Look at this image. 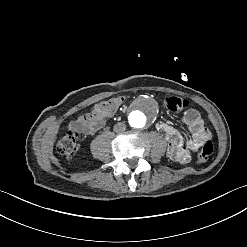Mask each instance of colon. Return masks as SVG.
Returning a JSON list of instances; mask_svg holds the SVG:
<instances>
[{
    "label": "colon",
    "mask_w": 247,
    "mask_h": 247,
    "mask_svg": "<svg viewBox=\"0 0 247 247\" xmlns=\"http://www.w3.org/2000/svg\"><path fill=\"white\" fill-rule=\"evenodd\" d=\"M126 99L124 96H105L104 100L98 102V113L96 115L97 122H108L109 116H114L116 105H124ZM163 105L171 112H180L188 106V101L185 98L168 97L164 100ZM78 135L74 131H68L61 138L58 151L60 154L72 157L78 151ZM214 145L212 140L204 142L199 154L198 163L204 164L208 161L213 153Z\"/></svg>",
    "instance_id": "obj_1"
}]
</instances>
